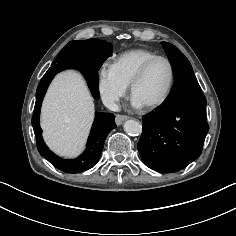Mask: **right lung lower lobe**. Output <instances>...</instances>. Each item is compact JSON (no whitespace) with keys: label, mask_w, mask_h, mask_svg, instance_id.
Segmentation results:
<instances>
[{"label":"right lung lower lobe","mask_w":236,"mask_h":236,"mask_svg":"<svg viewBox=\"0 0 236 236\" xmlns=\"http://www.w3.org/2000/svg\"><path fill=\"white\" fill-rule=\"evenodd\" d=\"M112 49V45L103 40L89 39L71 41L60 51L56 60L52 63L38 85L32 117L37 148L43 157L63 172H83L92 168L97 163L106 136L116 127L115 116L112 113H96L86 150L76 159L65 160L52 153L42 138L39 117L44 95L51 80L58 72L64 69L74 68L82 72L93 97L98 99V70L103 62L111 55Z\"/></svg>","instance_id":"obj_1"}]
</instances>
